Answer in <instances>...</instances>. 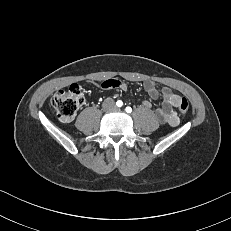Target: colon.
Segmentation results:
<instances>
[{
    "mask_svg": "<svg viewBox=\"0 0 231 231\" xmlns=\"http://www.w3.org/2000/svg\"><path fill=\"white\" fill-rule=\"evenodd\" d=\"M57 116L61 122H71L77 111L84 103V94L78 84H72L66 90L57 91L51 100ZM179 110L186 113L189 109V102L186 98H182L179 103Z\"/></svg>",
    "mask_w": 231,
    "mask_h": 231,
    "instance_id": "1",
    "label": "colon"
}]
</instances>
